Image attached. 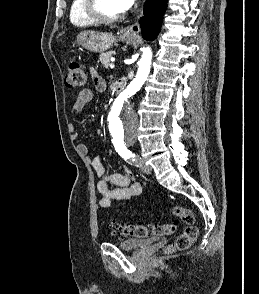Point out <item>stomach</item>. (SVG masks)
<instances>
[{"label":"stomach","instance_id":"0dacf381","mask_svg":"<svg viewBox=\"0 0 259 294\" xmlns=\"http://www.w3.org/2000/svg\"><path fill=\"white\" fill-rule=\"evenodd\" d=\"M117 40L131 43L135 40V36L125 32H120L119 36L116 37L112 33L83 31L78 34L76 43L91 52L103 53L110 49Z\"/></svg>","mask_w":259,"mask_h":294}]
</instances>
